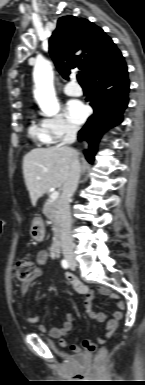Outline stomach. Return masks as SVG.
Segmentation results:
<instances>
[{"label": "stomach", "instance_id": "1", "mask_svg": "<svg viewBox=\"0 0 145 385\" xmlns=\"http://www.w3.org/2000/svg\"><path fill=\"white\" fill-rule=\"evenodd\" d=\"M44 226L41 219H35L30 229L31 237L36 241H42L44 238Z\"/></svg>", "mask_w": 145, "mask_h": 385}]
</instances>
